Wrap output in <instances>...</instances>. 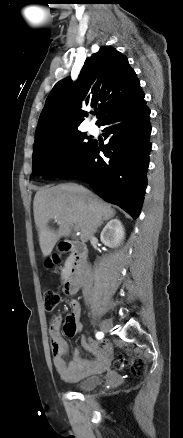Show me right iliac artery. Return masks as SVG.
Masks as SVG:
<instances>
[{
    "mask_svg": "<svg viewBox=\"0 0 183 438\" xmlns=\"http://www.w3.org/2000/svg\"><path fill=\"white\" fill-rule=\"evenodd\" d=\"M103 337H104L103 332H97V333H96V338H97V339H102Z\"/></svg>",
    "mask_w": 183,
    "mask_h": 438,
    "instance_id": "82829eb1",
    "label": "right iliac artery"
}]
</instances>
